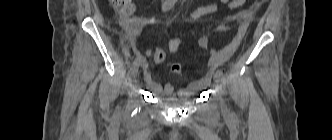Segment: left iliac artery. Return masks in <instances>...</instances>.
Wrapping results in <instances>:
<instances>
[{
	"label": "left iliac artery",
	"instance_id": "obj_1",
	"mask_svg": "<svg viewBox=\"0 0 332 140\" xmlns=\"http://www.w3.org/2000/svg\"><path fill=\"white\" fill-rule=\"evenodd\" d=\"M216 74H218L223 80H225V75H224V73H223V71L222 70H217V73Z\"/></svg>",
	"mask_w": 332,
	"mask_h": 140
}]
</instances>
